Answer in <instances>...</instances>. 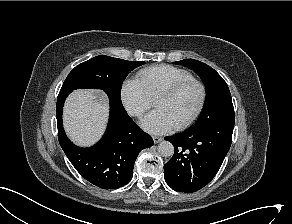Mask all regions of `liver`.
<instances>
[{
  "label": "liver",
  "instance_id": "6515ba94",
  "mask_svg": "<svg viewBox=\"0 0 292 224\" xmlns=\"http://www.w3.org/2000/svg\"><path fill=\"white\" fill-rule=\"evenodd\" d=\"M108 110V100L103 93L84 89L72 92L63 113L68 137L79 146L93 145L105 130Z\"/></svg>",
  "mask_w": 292,
  "mask_h": 224
}]
</instances>
